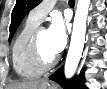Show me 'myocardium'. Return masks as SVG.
<instances>
[{
	"instance_id": "myocardium-1",
	"label": "myocardium",
	"mask_w": 107,
	"mask_h": 89,
	"mask_svg": "<svg viewBox=\"0 0 107 89\" xmlns=\"http://www.w3.org/2000/svg\"><path fill=\"white\" fill-rule=\"evenodd\" d=\"M44 30L42 27H38L31 36L28 55L31 63L42 71H46L54 67L59 60V56L56 54L51 60H46L41 54L39 47L40 33Z\"/></svg>"
}]
</instances>
